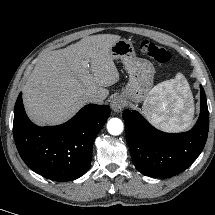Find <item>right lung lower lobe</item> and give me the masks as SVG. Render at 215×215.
<instances>
[{
    "mask_svg": "<svg viewBox=\"0 0 215 215\" xmlns=\"http://www.w3.org/2000/svg\"><path fill=\"white\" fill-rule=\"evenodd\" d=\"M21 96L15 104L13 135L23 161L53 181L81 177L90 166L93 142L110 116V107L89 104L64 124L39 127L27 117Z\"/></svg>",
    "mask_w": 215,
    "mask_h": 215,
    "instance_id": "right-lung-lower-lobe-1",
    "label": "right lung lower lobe"
}]
</instances>
